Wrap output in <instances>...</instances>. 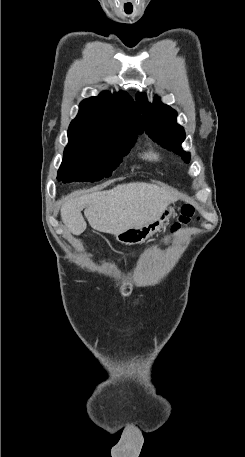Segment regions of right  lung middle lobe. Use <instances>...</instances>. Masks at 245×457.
I'll use <instances>...</instances> for the list:
<instances>
[{"label":"right lung middle lobe","mask_w":245,"mask_h":457,"mask_svg":"<svg viewBox=\"0 0 245 457\" xmlns=\"http://www.w3.org/2000/svg\"><path fill=\"white\" fill-rule=\"evenodd\" d=\"M141 132L131 126L71 122L58 180L93 182L110 176Z\"/></svg>","instance_id":"obj_1"}]
</instances>
